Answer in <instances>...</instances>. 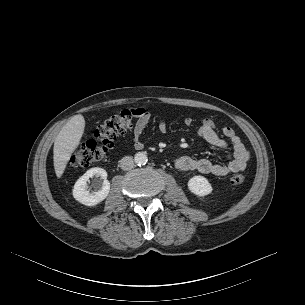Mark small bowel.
Instances as JSON below:
<instances>
[{"instance_id": "obj_1", "label": "small bowel", "mask_w": 305, "mask_h": 305, "mask_svg": "<svg viewBox=\"0 0 305 305\" xmlns=\"http://www.w3.org/2000/svg\"><path fill=\"white\" fill-rule=\"evenodd\" d=\"M131 111L137 118L133 128V140L135 146L140 148L143 145L141 135L150 120V113L144 107H137ZM193 122L194 120L191 117H186L184 119V124L186 126H191ZM158 130L161 133L167 132L168 122L165 119L159 121ZM197 132L201 139L216 148L227 149L230 147L229 161L226 164H219L207 159L178 156L173 161L176 169L183 172L196 171L214 176H227L241 172L246 168L250 158V152L235 133L234 129L231 127H224L222 130L224 138L220 137L215 131L214 122L209 118H204L201 120Z\"/></svg>"}]
</instances>
